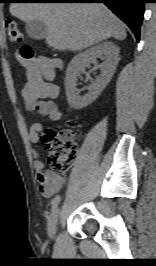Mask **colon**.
Instances as JSON below:
<instances>
[{"mask_svg": "<svg viewBox=\"0 0 156 266\" xmlns=\"http://www.w3.org/2000/svg\"><path fill=\"white\" fill-rule=\"evenodd\" d=\"M5 28L8 38L13 42H22L23 34L18 24L7 18ZM35 56L34 49L25 45L21 48V58L32 60ZM74 131L71 128L61 130L46 129L42 136V142L48 151V165L55 173H64L70 169L76 160L78 149L74 141Z\"/></svg>", "mask_w": 156, "mask_h": 266, "instance_id": "5ec220e1", "label": "colon"}]
</instances>
